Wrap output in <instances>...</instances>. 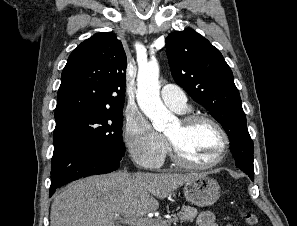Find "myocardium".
Masks as SVG:
<instances>
[{
  "label": "myocardium",
  "mask_w": 297,
  "mask_h": 226,
  "mask_svg": "<svg viewBox=\"0 0 297 226\" xmlns=\"http://www.w3.org/2000/svg\"><path fill=\"white\" fill-rule=\"evenodd\" d=\"M179 122L184 128H187L198 122H208L212 124L219 131V133L222 136L223 143H222L219 155L213 161L206 164H198L187 159L185 155L181 152L177 143L166 135V139L170 147L171 157L176 165L186 169L206 170V169H211L216 167L224 160L229 148L230 138L227 131L219 121H217L215 118L206 114H187L182 116L179 119Z\"/></svg>",
  "instance_id": "obj_1"
}]
</instances>
